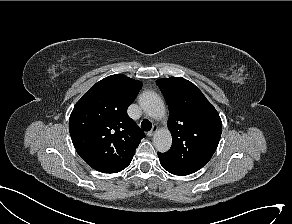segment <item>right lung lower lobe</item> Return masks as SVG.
<instances>
[{
  "label": "right lung lower lobe",
  "mask_w": 292,
  "mask_h": 224,
  "mask_svg": "<svg viewBox=\"0 0 292 224\" xmlns=\"http://www.w3.org/2000/svg\"><path fill=\"white\" fill-rule=\"evenodd\" d=\"M131 160L132 158L118 164L109 165V166L101 167V168H94V169L102 173H117L125 169L131 163Z\"/></svg>",
  "instance_id": "1"
}]
</instances>
